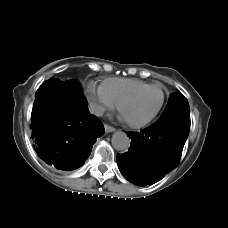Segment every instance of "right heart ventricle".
<instances>
[{"instance_id":"1","label":"right heart ventricle","mask_w":228,"mask_h":228,"mask_svg":"<svg viewBox=\"0 0 228 228\" xmlns=\"http://www.w3.org/2000/svg\"><path fill=\"white\" fill-rule=\"evenodd\" d=\"M148 86L150 84L138 79L108 78L102 82L101 89L114 105H118L125 96Z\"/></svg>"}]
</instances>
